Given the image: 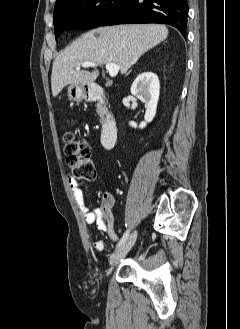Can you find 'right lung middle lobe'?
<instances>
[{"label":"right lung middle lobe","instance_id":"1","mask_svg":"<svg viewBox=\"0 0 240 329\" xmlns=\"http://www.w3.org/2000/svg\"><path fill=\"white\" fill-rule=\"evenodd\" d=\"M125 0H69L54 9L56 40L63 29H88L101 25Z\"/></svg>","mask_w":240,"mask_h":329}]
</instances>
